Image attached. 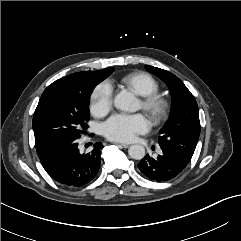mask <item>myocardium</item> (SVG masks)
<instances>
[{
	"label": "myocardium",
	"mask_w": 241,
	"mask_h": 241,
	"mask_svg": "<svg viewBox=\"0 0 241 241\" xmlns=\"http://www.w3.org/2000/svg\"><path fill=\"white\" fill-rule=\"evenodd\" d=\"M140 103L141 108L150 116L154 123H161L168 117L170 103L163 95L153 93L142 96Z\"/></svg>",
	"instance_id": "obj_1"
}]
</instances>
